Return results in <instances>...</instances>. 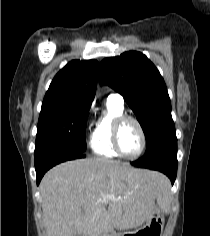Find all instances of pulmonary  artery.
I'll use <instances>...</instances> for the list:
<instances>
[{"label": "pulmonary artery", "mask_w": 210, "mask_h": 236, "mask_svg": "<svg viewBox=\"0 0 210 236\" xmlns=\"http://www.w3.org/2000/svg\"><path fill=\"white\" fill-rule=\"evenodd\" d=\"M107 100H110V101H112V102H114V103H116L118 105H121V106H123V104H124L123 97L120 94H118V93L110 94L108 96Z\"/></svg>", "instance_id": "obj_1"}]
</instances>
